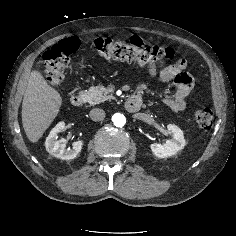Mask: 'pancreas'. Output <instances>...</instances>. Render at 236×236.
Wrapping results in <instances>:
<instances>
[{
    "instance_id": "cf45deb5",
    "label": "pancreas",
    "mask_w": 236,
    "mask_h": 236,
    "mask_svg": "<svg viewBox=\"0 0 236 236\" xmlns=\"http://www.w3.org/2000/svg\"><path fill=\"white\" fill-rule=\"evenodd\" d=\"M108 94V90L103 85L92 86L85 92V101L90 105L99 104L113 98V96Z\"/></svg>"
}]
</instances>
